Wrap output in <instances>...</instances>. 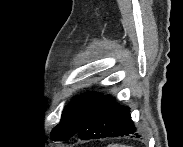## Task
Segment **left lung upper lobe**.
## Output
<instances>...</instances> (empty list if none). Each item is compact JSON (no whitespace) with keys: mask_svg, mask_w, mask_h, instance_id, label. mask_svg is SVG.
Wrapping results in <instances>:
<instances>
[{"mask_svg":"<svg viewBox=\"0 0 183 147\" xmlns=\"http://www.w3.org/2000/svg\"><path fill=\"white\" fill-rule=\"evenodd\" d=\"M102 97L101 94L89 93L66 107L60 123L51 132V138L54 141H66L75 135L90 111Z\"/></svg>","mask_w":183,"mask_h":147,"instance_id":"5c2ea615","label":"left lung upper lobe"}]
</instances>
